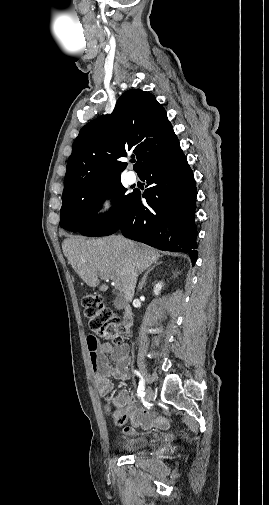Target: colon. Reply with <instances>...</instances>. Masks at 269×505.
I'll list each match as a JSON object with an SVG mask.
<instances>
[{
	"instance_id": "colon-1",
	"label": "colon",
	"mask_w": 269,
	"mask_h": 505,
	"mask_svg": "<svg viewBox=\"0 0 269 505\" xmlns=\"http://www.w3.org/2000/svg\"><path fill=\"white\" fill-rule=\"evenodd\" d=\"M82 307L89 328L95 334V336L90 335L91 337L109 339L117 345L121 344V320L110 308L104 305L100 296L96 294L84 295ZM116 422L122 425L124 418L117 415Z\"/></svg>"
}]
</instances>
